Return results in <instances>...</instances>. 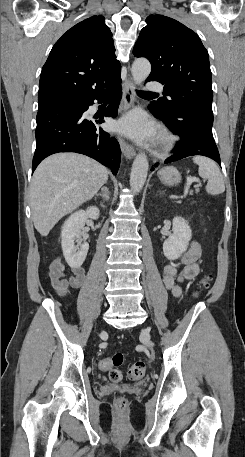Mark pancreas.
<instances>
[{
  "mask_svg": "<svg viewBox=\"0 0 245 457\" xmlns=\"http://www.w3.org/2000/svg\"><path fill=\"white\" fill-rule=\"evenodd\" d=\"M196 192H199V188H196Z\"/></svg>",
  "mask_w": 245,
  "mask_h": 457,
  "instance_id": "pancreas-1",
  "label": "pancreas"
}]
</instances>
